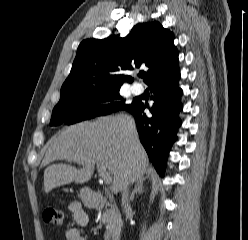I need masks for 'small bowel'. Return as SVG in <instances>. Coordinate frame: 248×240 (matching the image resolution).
Segmentation results:
<instances>
[{"instance_id": "obj_1", "label": "small bowel", "mask_w": 248, "mask_h": 240, "mask_svg": "<svg viewBox=\"0 0 248 240\" xmlns=\"http://www.w3.org/2000/svg\"><path fill=\"white\" fill-rule=\"evenodd\" d=\"M68 209L71 216L78 225L84 226L88 223V215L86 214L82 205L79 202H71ZM65 236L67 240H86L82 236L80 230L75 227L67 229Z\"/></svg>"}]
</instances>
